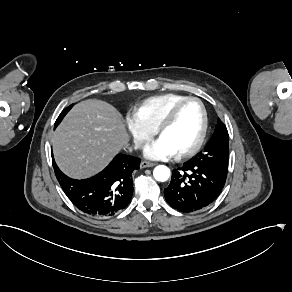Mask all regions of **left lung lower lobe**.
<instances>
[{
	"label": "left lung lower lobe",
	"mask_w": 292,
	"mask_h": 292,
	"mask_svg": "<svg viewBox=\"0 0 292 292\" xmlns=\"http://www.w3.org/2000/svg\"><path fill=\"white\" fill-rule=\"evenodd\" d=\"M227 171L226 164L192 158L172 171L171 182L164 189L165 199L180 212L200 211L219 196L226 182Z\"/></svg>",
	"instance_id": "1"
}]
</instances>
